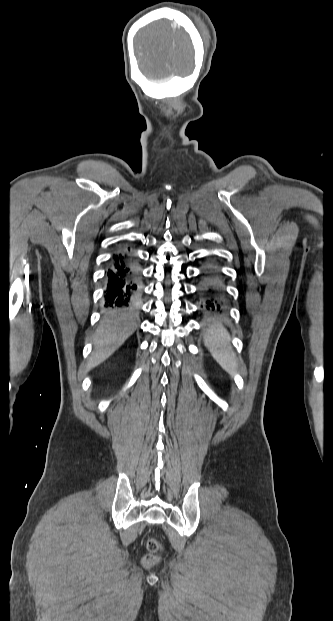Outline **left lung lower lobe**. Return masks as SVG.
<instances>
[{
  "label": "left lung lower lobe",
  "mask_w": 333,
  "mask_h": 621,
  "mask_svg": "<svg viewBox=\"0 0 333 621\" xmlns=\"http://www.w3.org/2000/svg\"><path fill=\"white\" fill-rule=\"evenodd\" d=\"M198 285V297L201 308L207 314L223 315L225 299L222 291L223 278L215 260H210L202 269Z\"/></svg>",
  "instance_id": "obj_1"
}]
</instances>
